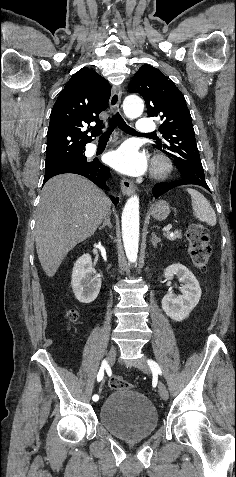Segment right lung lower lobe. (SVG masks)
I'll return each instance as SVG.
<instances>
[{
	"mask_svg": "<svg viewBox=\"0 0 236 477\" xmlns=\"http://www.w3.org/2000/svg\"><path fill=\"white\" fill-rule=\"evenodd\" d=\"M64 173H74L82 175L91 180L100 188L109 190L108 186L106 185V181L111 176L110 169L107 166H104L98 159H94L93 161L87 162L85 164L68 165L45 169L44 183L48 181L51 177ZM111 200L114 204L118 203V198L111 196Z\"/></svg>",
	"mask_w": 236,
	"mask_h": 477,
	"instance_id": "1",
	"label": "right lung lower lobe"
}]
</instances>
